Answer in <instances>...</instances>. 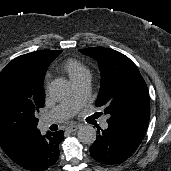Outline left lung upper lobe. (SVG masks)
I'll list each match as a JSON object with an SVG mask.
<instances>
[{
	"instance_id": "1",
	"label": "left lung upper lobe",
	"mask_w": 171,
	"mask_h": 171,
	"mask_svg": "<svg viewBox=\"0 0 171 171\" xmlns=\"http://www.w3.org/2000/svg\"><path fill=\"white\" fill-rule=\"evenodd\" d=\"M79 51L100 65L102 79L96 106L110 115L108 124L144 136L150 118L149 92L136 65L113 49L94 47Z\"/></svg>"
}]
</instances>
